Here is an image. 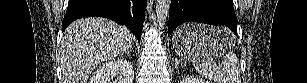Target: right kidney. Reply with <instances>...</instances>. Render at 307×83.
<instances>
[{
	"instance_id": "ca27d5eb",
	"label": "right kidney",
	"mask_w": 307,
	"mask_h": 83,
	"mask_svg": "<svg viewBox=\"0 0 307 83\" xmlns=\"http://www.w3.org/2000/svg\"><path fill=\"white\" fill-rule=\"evenodd\" d=\"M133 79L132 64L126 60L114 59L99 66L90 78V83H133Z\"/></svg>"
}]
</instances>
